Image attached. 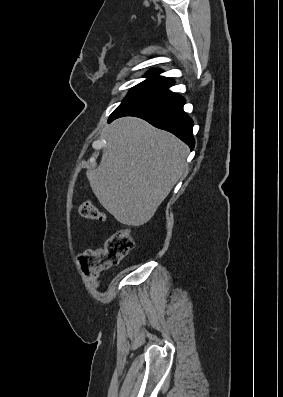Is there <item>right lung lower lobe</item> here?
<instances>
[{
	"label": "right lung lower lobe",
	"mask_w": 283,
	"mask_h": 397,
	"mask_svg": "<svg viewBox=\"0 0 283 397\" xmlns=\"http://www.w3.org/2000/svg\"><path fill=\"white\" fill-rule=\"evenodd\" d=\"M184 104L185 99L181 95L166 88L124 108L109 118L108 122L123 116L139 117L157 128L173 133L193 150V120L184 112Z\"/></svg>",
	"instance_id": "98d812e1"
}]
</instances>
